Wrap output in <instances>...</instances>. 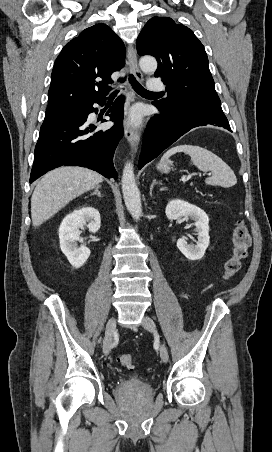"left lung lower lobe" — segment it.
Masks as SVG:
<instances>
[{"instance_id":"0a47b994","label":"left lung lower lobe","mask_w":272,"mask_h":452,"mask_svg":"<svg viewBox=\"0 0 272 452\" xmlns=\"http://www.w3.org/2000/svg\"><path fill=\"white\" fill-rule=\"evenodd\" d=\"M153 104L161 114L152 117L144 132L143 146L138 162L139 169L195 127L215 125L231 131L221 106L194 102L168 110L156 102Z\"/></svg>"}]
</instances>
